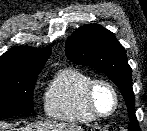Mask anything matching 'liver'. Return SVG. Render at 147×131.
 <instances>
[{"instance_id":"liver-1","label":"liver","mask_w":147,"mask_h":131,"mask_svg":"<svg viewBox=\"0 0 147 131\" xmlns=\"http://www.w3.org/2000/svg\"><path fill=\"white\" fill-rule=\"evenodd\" d=\"M17 131H84L80 126L64 122H37L17 129Z\"/></svg>"}]
</instances>
